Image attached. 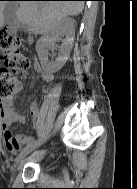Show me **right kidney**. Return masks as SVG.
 <instances>
[{
	"label": "right kidney",
	"instance_id": "1",
	"mask_svg": "<svg viewBox=\"0 0 137 189\" xmlns=\"http://www.w3.org/2000/svg\"><path fill=\"white\" fill-rule=\"evenodd\" d=\"M59 36H65L59 47V56L55 61L48 59L49 49L55 50L56 40ZM75 37L74 25L71 19L65 18L57 23L51 31L45 33L36 43V51L43 69L49 73L59 71L70 56Z\"/></svg>",
	"mask_w": 137,
	"mask_h": 189
}]
</instances>
